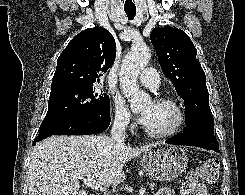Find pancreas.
<instances>
[{
	"mask_svg": "<svg viewBox=\"0 0 245 195\" xmlns=\"http://www.w3.org/2000/svg\"><path fill=\"white\" fill-rule=\"evenodd\" d=\"M149 187L151 188V190H154L155 187H157V184H155V183H149Z\"/></svg>",
	"mask_w": 245,
	"mask_h": 195,
	"instance_id": "pancreas-1",
	"label": "pancreas"
}]
</instances>
